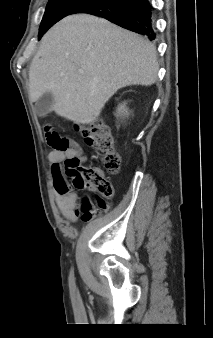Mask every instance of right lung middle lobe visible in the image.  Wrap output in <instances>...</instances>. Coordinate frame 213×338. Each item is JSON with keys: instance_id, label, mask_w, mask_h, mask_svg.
<instances>
[{"instance_id": "dd1d6c3e", "label": "right lung middle lobe", "mask_w": 213, "mask_h": 338, "mask_svg": "<svg viewBox=\"0 0 213 338\" xmlns=\"http://www.w3.org/2000/svg\"><path fill=\"white\" fill-rule=\"evenodd\" d=\"M90 1L91 0H49L39 28V39L56 22L72 14L79 7Z\"/></svg>"}]
</instances>
